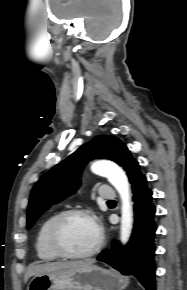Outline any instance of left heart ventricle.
<instances>
[{
	"label": "left heart ventricle",
	"instance_id": "obj_1",
	"mask_svg": "<svg viewBox=\"0 0 187 290\" xmlns=\"http://www.w3.org/2000/svg\"><path fill=\"white\" fill-rule=\"evenodd\" d=\"M98 240V230L87 217L75 216L68 219L61 229L63 246L76 253L90 250Z\"/></svg>",
	"mask_w": 187,
	"mask_h": 290
}]
</instances>
